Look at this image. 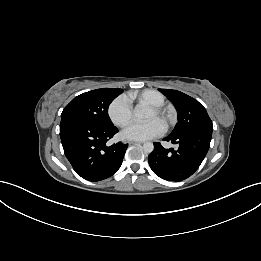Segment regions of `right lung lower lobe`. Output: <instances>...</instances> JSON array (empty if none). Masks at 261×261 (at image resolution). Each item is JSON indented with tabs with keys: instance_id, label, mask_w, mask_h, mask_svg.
I'll list each match as a JSON object with an SVG mask.
<instances>
[{
	"instance_id": "right-lung-lower-lobe-1",
	"label": "right lung lower lobe",
	"mask_w": 261,
	"mask_h": 261,
	"mask_svg": "<svg viewBox=\"0 0 261 261\" xmlns=\"http://www.w3.org/2000/svg\"><path fill=\"white\" fill-rule=\"evenodd\" d=\"M117 132L114 125L101 127L61 119L60 137L64 153L79 176L89 181H100L117 172L128 147L121 142L107 145Z\"/></svg>"
}]
</instances>
